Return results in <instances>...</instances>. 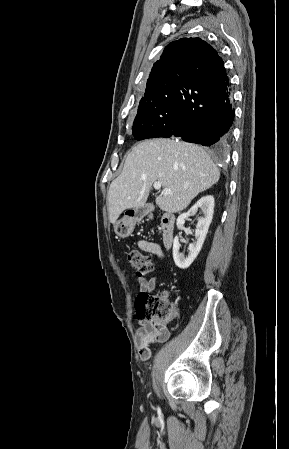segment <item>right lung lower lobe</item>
Segmentation results:
<instances>
[{
  "label": "right lung lower lobe",
  "instance_id": "obj_1",
  "mask_svg": "<svg viewBox=\"0 0 289 449\" xmlns=\"http://www.w3.org/2000/svg\"><path fill=\"white\" fill-rule=\"evenodd\" d=\"M177 116L151 138L180 136L220 150L230 136L235 111L231 84L223 67L206 81L179 82L176 87Z\"/></svg>",
  "mask_w": 289,
  "mask_h": 449
}]
</instances>
